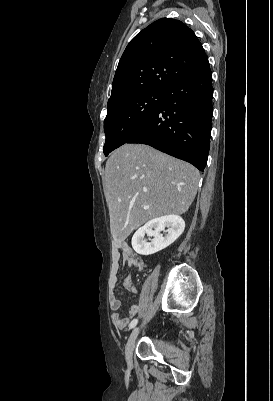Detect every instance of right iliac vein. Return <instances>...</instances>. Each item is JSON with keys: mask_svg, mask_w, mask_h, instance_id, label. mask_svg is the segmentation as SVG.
Here are the masks:
<instances>
[{"mask_svg": "<svg viewBox=\"0 0 273 401\" xmlns=\"http://www.w3.org/2000/svg\"><path fill=\"white\" fill-rule=\"evenodd\" d=\"M139 330V327L133 329L125 346V358L128 365H132V355Z\"/></svg>", "mask_w": 273, "mask_h": 401, "instance_id": "right-iliac-vein-1", "label": "right iliac vein"}]
</instances>
